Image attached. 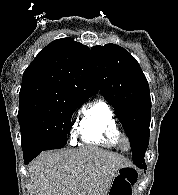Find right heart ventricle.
Segmentation results:
<instances>
[{"label": "right heart ventricle", "instance_id": "right-heart-ventricle-1", "mask_svg": "<svg viewBox=\"0 0 178 195\" xmlns=\"http://www.w3.org/2000/svg\"><path fill=\"white\" fill-rule=\"evenodd\" d=\"M78 134L84 143L109 149L120 148V127L112 108L103 100H95L85 107Z\"/></svg>", "mask_w": 178, "mask_h": 195}]
</instances>
